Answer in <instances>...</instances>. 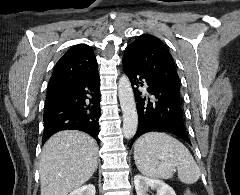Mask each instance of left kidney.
I'll list each match as a JSON object with an SVG mask.
<instances>
[{"label":"left kidney","instance_id":"1","mask_svg":"<svg viewBox=\"0 0 240 195\" xmlns=\"http://www.w3.org/2000/svg\"><path fill=\"white\" fill-rule=\"evenodd\" d=\"M134 185L137 195H146L151 189H156V195H176L173 187L162 181V179H151L145 175H134Z\"/></svg>","mask_w":240,"mask_h":195}]
</instances>
